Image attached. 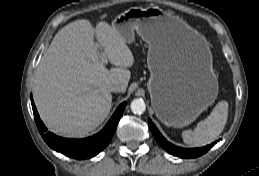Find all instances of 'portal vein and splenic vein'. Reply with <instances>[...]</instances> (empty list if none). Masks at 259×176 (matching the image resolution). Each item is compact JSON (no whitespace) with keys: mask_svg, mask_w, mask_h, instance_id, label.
Returning <instances> with one entry per match:
<instances>
[{"mask_svg":"<svg viewBox=\"0 0 259 176\" xmlns=\"http://www.w3.org/2000/svg\"><path fill=\"white\" fill-rule=\"evenodd\" d=\"M101 59H102L103 64H107L108 61L105 56H102Z\"/></svg>","mask_w":259,"mask_h":176,"instance_id":"obj_1","label":"portal vein and splenic vein"}]
</instances>
